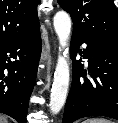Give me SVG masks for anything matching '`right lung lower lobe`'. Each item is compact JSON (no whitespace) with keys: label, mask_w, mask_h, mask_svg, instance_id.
<instances>
[{"label":"right lung lower lobe","mask_w":118,"mask_h":123,"mask_svg":"<svg viewBox=\"0 0 118 123\" xmlns=\"http://www.w3.org/2000/svg\"><path fill=\"white\" fill-rule=\"evenodd\" d=\"M40 54L39 30L28 38L0 44V113L19 123H26Z\"/></svg>","instance_id":"1"}]
</instances>
